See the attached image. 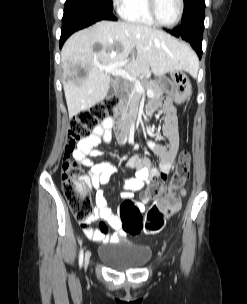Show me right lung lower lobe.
<instances>
[{
  "label": "right lung lower lobe",
  "instance_id": "98d812e1",
  "mask_svg": "<svg viewBox=\"0 0 247 304\" xmlns=\"http://www.w3.org/2000/svg\"><path fill=\"white\" fill-rule=\"evenodd\" d=\"M116 19L117 18L112 14V12L105 9L66 2L62 18L60 48L73 32L100 20Z\"/></svg>",
  "mask_w": 247,
  "mask_h": 304
}]
</instances>
